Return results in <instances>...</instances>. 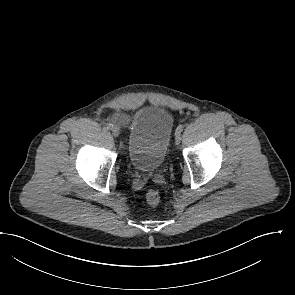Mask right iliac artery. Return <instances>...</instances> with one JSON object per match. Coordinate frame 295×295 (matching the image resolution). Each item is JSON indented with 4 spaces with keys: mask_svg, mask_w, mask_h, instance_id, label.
Listing matches in <instances>:
<instances>
[{
    "mask_svg": "<svg viewBox=\"0 0 295 295\" xmlns=\"http://www.w3.org/2000/svg\"><path fill=\"white\" fill-rule=\"evenodd\" d=\"M106 128H107L108 130L113 129V124H111V123L107 124Z\"/></svg>",
    "mask_w": 295,
    "mask_h": 295,
    "instance_id": "right-iliac-artery-1",
    "label": "right iliac artery"
}]
</instances>
